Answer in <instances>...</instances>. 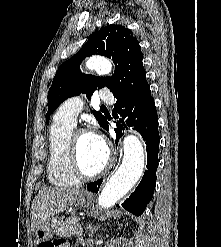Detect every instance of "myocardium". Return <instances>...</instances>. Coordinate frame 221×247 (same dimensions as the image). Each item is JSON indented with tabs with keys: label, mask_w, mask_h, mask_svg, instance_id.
I'll return each mask as SVG.
<instances>
[{
	"label": "myocardium",
	"mask_w": 221,
	"mask_h": 247,
	"mask_svg": "<svg viewBox=\"0 0 221 247\" xmlns=\"http://www.w3.org/2000/svg\"><path fill=\"white\" fill-rule=\"evenodd\" d=\"M86 129H77L70 134V140H69V158L71 163V168L73 173L81 180H94L97 178H100L103 176L111 167L113 156H112V150L104 143L105 149H106V160L103 165V167L92 174L85 173L81 167L79 156H78V137L83 134H90Z\"/></svg>",
	"instance_id": "f54148a6"
}]
</instances>
